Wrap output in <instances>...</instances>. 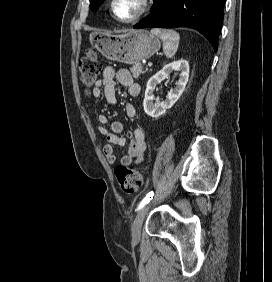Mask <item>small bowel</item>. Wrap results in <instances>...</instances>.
Wrapping results in <instances>:
<instances>
[{"label":"small bowel","instance_id":"obj_1","mask_svg":"<svg viewBox=\"0 0 272 282\" xmlns=\"http://www.w3.org/2000/svg\"><path fill=\"white\" fill-rule=\"evenodd\" d=\"M117 82L126 87L131 96L136 97L139 95L140 86L133 80L128 70L106 67L103 72V78L96 83L93 89V96L99 98L103 94L109 104L115 105ZM125 111L128 117H134L136 114V108L131 103L126 104ZM98 122V128L107 140V144L104 147V154L108 163L115 165L117 163L115 147H122L126 143L123 136V124L120 121L110 122L106 115H99ZM108 123L111 124V131H108L102 126ZM128 136L130 139V148L128 153L120 159V163L125 166L138 165L143 162L144 153L147 148L145 132L141 128H137Z\"/></svg>","mask_w":272,"mask_h":282}]
</instances>
